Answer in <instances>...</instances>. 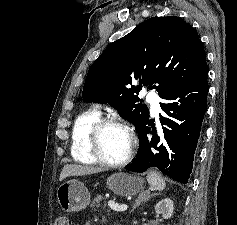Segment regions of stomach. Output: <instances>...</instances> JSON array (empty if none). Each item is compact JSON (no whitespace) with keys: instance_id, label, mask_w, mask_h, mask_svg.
Here are the masks:
<instances>
[{"instance_id":"1","label":"stomach","mask_w":237,"mask_h":225,"mask_svg":"<svg viewBox=\"0 0 237 225\" xmlns=\"http://www.w3.org/2000/svg\"><path fill=\"white\" fill-rule=\"evenodd\" d=\"M142 178L127 173H114L107 178V186L119 196H134L143 189ZM57 200L66 212L84 209L90 202V193L86 186L77 179L63 182L57 188Z\"/></svg>"}]
</instances>
